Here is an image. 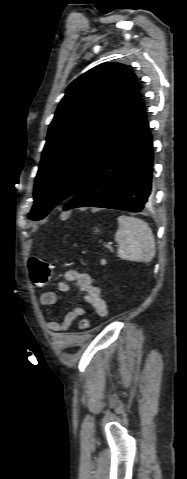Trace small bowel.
Returning a JSON list of instances; mask_svg holds the SVG:
<instances>
[{
    "label": "small bowel",
    "instance_id": "small-bowel-1",
    "mask_svg": "<svg viewBox=\"0 0 187 479\" xmlns=\"http://www.w3.org/2000/svg\"><path fill=\"white\" fill-rule=\"evenodd\" d=\"M64 281L58 283V290L62 293L77 292L81 295L84 302L90 305L96 313L105 317L108 313V307L105 299L101 295L100 289L92 282L90 275L74 269L67 270L64 274ZM70 283H74L73 287ZM58 295L53 291H46L40 295L39 302L42 305L49 306L57 303ZM85 310L80 306H75L68 312L62 322L46 320V327L53 333L59 334L67 332L70 326L77 318L83 316Z\"/></svg>",
    "mask_w": 187,
    "mask_h": 479
}]
</instances>
